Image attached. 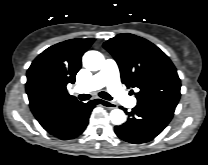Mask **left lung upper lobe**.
<instances>
[{"mask_svg": "<svg viewBox=\"0 0 208 165\" xmlns=\"http://www.w3.org/2000/svg\"><path fill=\"white\" fill-rule=\"evenodd\" d=\"M103 46L115 58L122 82L139 89L137 105L177 106L180 79L171 60L157 46L133 34H119Z\"/></svg>", "mask_w": 208, "mask_h": 165, "instance_id": "obj_1", "label": "left lung upper lobe"}]
</instances>
